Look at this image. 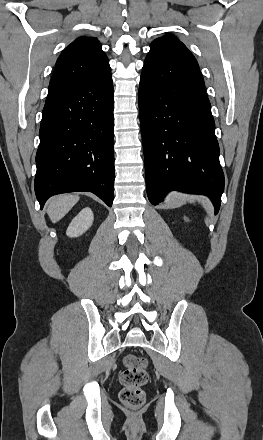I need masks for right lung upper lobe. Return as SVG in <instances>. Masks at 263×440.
I'll return each instance as SVG.
<instances>
[{
  "label": "right lung upper lobe",
  "instance_id": "right-lung-upper-lobe-1",
  "mask_svg": "<svg viewBox=\"0 0 263 440\" xmlns=\"http://www.w3.org/2000/svg\"><path fill=\"white\" fill-rule=\"evenodd\" d=\"M110 71L108 58L97 38L79 37L59 56L48 95L91 81Z\"/></svg>",
  "mask_w": 263,
  "mask_h": 440
}]
</instances>
